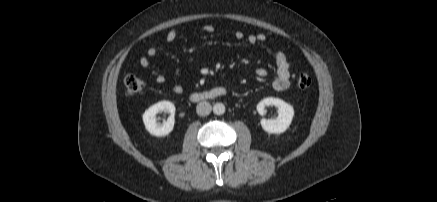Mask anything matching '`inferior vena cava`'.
Returning <instances> with one entry per match:
<instances>
[{"label":"inferior vena cava","instance_id":"1","mask_svg":"<svg viewBox=\"0 0 437 202\" xmlns=\"http://www.w3.org/2000/svg\"><path fill=\"white\" fill-rule=\"evenodd\" d=\"M212 110V106L207 101H202L199 104H197L196 112L199 116H207L210 114Z\"/></svg>","mask_w":437,"mask_h":202}]
</instances>
